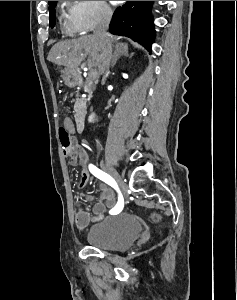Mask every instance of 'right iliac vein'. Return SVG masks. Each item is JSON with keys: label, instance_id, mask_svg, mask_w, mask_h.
<instances>
[{"label": "right iliac vein", "instance_id": "1", "mask_svg": "<svg viewBox=\"0 0 237 300\" xmlns=\"http://www.w3.org/2000/svg\"><path fill=\"white\" fill-rule=\"evenodd\" d=\"M101 165L106 171H108L111 174V176L114 178L115 182L120 187V189L125 191L123 179L120 177L118 172L115 169L111 168L110 165H108L107 161L103 160L101 162Z\"/></svg>", "mask_w": 237, "mask_h": 300}]
</instances>
